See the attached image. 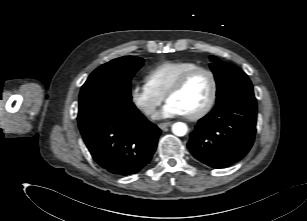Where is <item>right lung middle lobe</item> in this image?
Masks as SVG:
<instances>
[{
	"instance_id": "right-lung-middle-lobe-1",
	"label": "right lung middle lobe",
	"mask_w": 307,
	"mask_h": 221,
	"mask_svg": "<svg viewBox=\"0 0 307 221\" xmlns=\"http://www.w3.org/2000/svg\"><path fill=\"white\" fill-rule=\"evenodd\" d=\"M143 63L142 58L125 56L93 71L79 96L80 129L96 118L123 115L136 109L132 103L130 81Z\"/></svg>"
}]
</instances>
